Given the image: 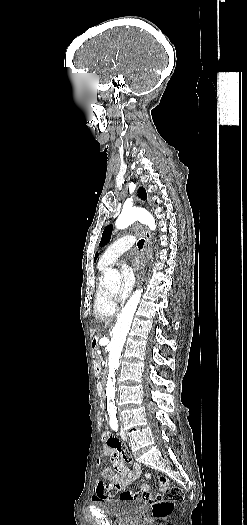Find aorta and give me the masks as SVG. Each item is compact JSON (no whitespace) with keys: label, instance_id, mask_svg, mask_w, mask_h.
I'll return each instance as SVG.
<instances>
[{"label":"aorta","instance_id":"aorta-1","mask_svg":"<svg viewBox=\"0 0 247 525\" xmlns=\"http://www.w3.org/2000/svg\"><path fill=\"white\" fill-rule=\"evenodd\" d=\"M139 221L142 224L147 225L151 230L156 229L154 217L145 209L133 207L130 209L123 210L120 216L116 220V228L124 229L129 225ZM121 282V276L115 269H108L104 276V283L108 287L119 285ZM143 290H136L135 293L127 301L125 307L119 314L116 325L112 330V339L108 345L109 348V359H108V378L106 384V395H107V411L111 422H115L117 415V408L115 406V371L119 367V359L123 349V345L126 340V336L129 332L134 314L137 306L140 302L141 294Z\"/></svg>","mask_w":247,"mask_h":525}]
</instances>
